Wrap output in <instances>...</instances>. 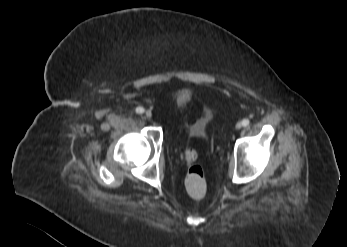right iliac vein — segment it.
Returning <instances> with one entry per match:
<instances>
[{"label":"right iliac vein","mask_w":347,"mask_h":247,"mask_svg":"<svg viewBox=\"0 0 347 247\" xmlns=\"http://www.w3.org/2000/svg\"><path fill=\"white\" fill-rule=\"evenodd\" d=\"M145 116H146L147 118H151V116H152L151 111L147 110V111L145 112Z\"/></svg>","instance_id":"right-iliac-vein-1"}]
</instances>
